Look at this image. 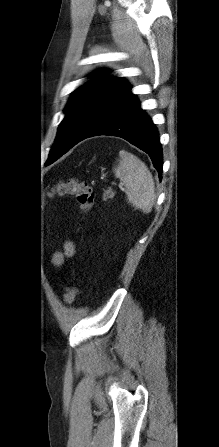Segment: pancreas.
Wrapping results in <instances>:
<instances>
[{
  "label": "pancreas",
  "instance_id": "1",
  "mask_svg": "<svg viewBox=\"0 0 219 447\" xmlns=\"http://www.w3.org/2000/svg\"><path fill=\"white\" fill-rule=\"evenodd\" d=\"M115 196V192L112 191L111 188L104 191L103 194V201H106L107 199H112Z\"/></svg>",
  "mask_w": 219,
  "mask_h": 447
}]
</instances>
